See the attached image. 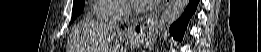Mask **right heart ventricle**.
Segmentation results:
<instances>
[{"instance_id": "obj_1", "label": "right heart ventricle", "mask_w": 261, "mask_h": 52, "mask_svg": "<svg viewBox=\"0 0 261 52\" xmlns=\"http://www.w3.org/2000/svg\"><path fill=\"white\" fill-rule=\"evenodd\" d=\"M121 6L112 0H98L91 8V19L100 23L119 24L115 14Z\"/></svg>"}]
</instances>
